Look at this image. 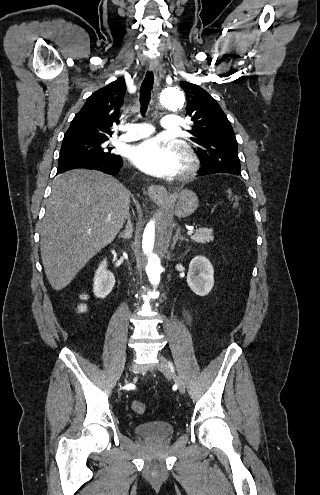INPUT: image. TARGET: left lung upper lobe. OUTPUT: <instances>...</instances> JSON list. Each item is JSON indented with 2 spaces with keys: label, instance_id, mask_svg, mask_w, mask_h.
Instances as JSON below:
<instances>
[{
  "label": "left lung upper lobe",
  "instance_id": "5c2ea615",
  "mask_svg": "<svg viewBox=\"0 0 320 495\" xmlns=\"http://www.w3.org/2000/svg\"><path fill=\"white\" fill-rule=\"evenodd\" d=\"M180 87L186 93V114L193 121L190 140L203 166L240 172L235 134L217 101L198 85L183 81Z\"/></svg>",
  "mask_w": 320,
  "mask_h": 495
}]
</instances>
